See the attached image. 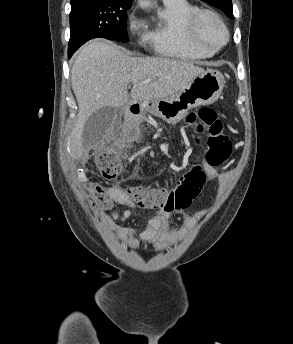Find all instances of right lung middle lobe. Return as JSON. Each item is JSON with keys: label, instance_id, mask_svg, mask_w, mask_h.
Listing matches in <instances>:
<instances>
[{"label": "right lung middle lobe", "instance_id": "dd1d6c3e", "mask_svg": "<svg viewBox=\"0 0 293 344\" xmlns=\"http://www.w3.org/2000/svg\"><path fill=\"white\" fill-rule=\"evenodd\" d=\"M68 56L86 41L101 37L127 42V10L131 3L83 0L71 4Z\"/></svg>", "mask_w": 293, "mask_h": 344}]
</instances>
